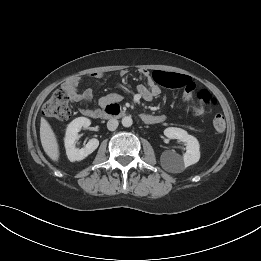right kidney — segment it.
I'll return each instance as SVG.
<instances>
[{"label":"right kidney","instance_id":"right-kidney-1","mask_svg":"<svg viewBox=\"0 0 261 261\" xmlns=\"http://www.w3.org/2000/svg\"><path fill=\"white\" fill-rule=\"evenodd\" d=\"M91 122L88 118L78 117L74 119L66 129L65 148L68 159L71 162L81 161L88 155L94 152L99 146L98 139H90L84 148L78 149L75 146V141L78 138V132L82 128H88Z\"/></svg>","mask_w":261,"mask_h":261}]
</instances>
